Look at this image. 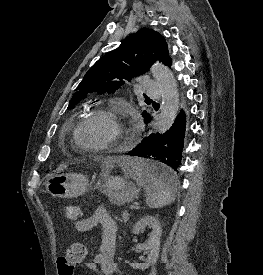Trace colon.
I'll return each mask as SVG.
<instances>
[{"mask_svg":"<svg viewBox=\"0 0 263 275\" xmlns=\"http://www.w3.org/2000/svg\"><path fill=\"white\" fill-rule=\"evenodd\" d=\"M64 215L69 220H76L81 215V210L77 205L68 204L65 207ZM85 256L86 248L83 244H72L65 255L57 259L59 275H74L76 265L82 263Z\"/></svg>","mask_w":263,"mask_h":275,"instance_id":"obj_1","label":"colon"}]
</instances>
